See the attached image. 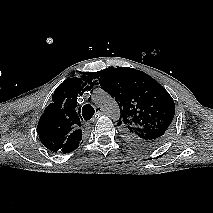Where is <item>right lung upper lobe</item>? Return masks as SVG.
<instances>
[{
	"label": "right lung upper lobe",
	"mask_w": 213,
	"mask_h": 213,
	"mask_svg": "<svg viewBox=\"0 0 213 213\" xmlns=\"http://www.w3.org/2000/svg\"><path fill=\"white\" fill-rule=\"evenodd\" d=\"M95 77L82 76L65 80L54 91L53 103L42 114L37 133L42 144L53 152H71L81 144V115L76 112L77 95L91 89Z\"/></svg>",
	"instance_id": "obj_1"
}]
</instances>
